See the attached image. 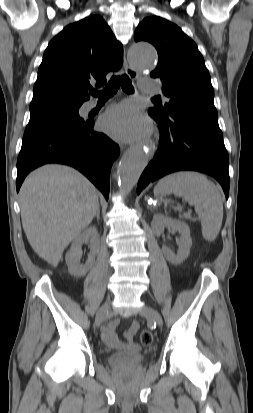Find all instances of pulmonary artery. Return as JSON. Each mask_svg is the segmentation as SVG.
Returning <instances> with one entry per match:
<instances>
[{
  "label": "pulmonary artery",
  "instance_id": "obj_1",
  "mask_svg": "<svg viewBox=\"0 0 253 413\" xmlns=\"http://www.w3.org/2000/svg\"><path fill=\"white\" fill-rule=\"evenodd\" d=\"M141 90L146 93H150V94H157L160 92L159 86L154 82H148V83L142 84ZM95 106H96V101H89L86 103L85 109L91 110Z\"/></svg>",
  "mask_w": 253,
  "mask_h": 413
}]
</instances>
